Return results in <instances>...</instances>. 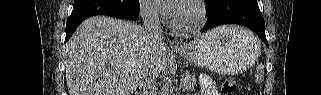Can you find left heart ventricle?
<instances>
[{
  "label": "left heart ventricle",
  "mask_w": 321,
  "mask_h": 95,
  "mask_svg": "<svg viewBox=\"0 0 321 95\" xmlns=\"http://www.w3.org/2000/svg\"><path fill=\"white\" fill-rule=\"evenodd\" d=\"M173 19L179 26L186 27L195 21L196 16L192 8L183 7L180 12L173 17Z\"/></svg>",
  "instance_id": "1"
}]
</instances>
